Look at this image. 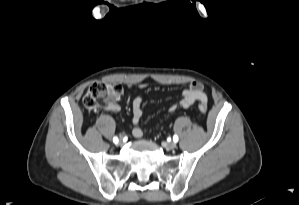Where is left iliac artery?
Returning <instances> with one entry per match:
<instances>
[{
    "mask_svg": "<svg viewBox=\"0 0 299 205\" xmlns=\"http://www.w3.org/2000/svg\"><path fill=\"white\" fill-rule=\"evenodd\" d=\"M173 141H174V142H177V141H178V136H177V135H174V136H173Z\"/></svg>",
    "mask_w": 299,
    "mask_h": 205,
    "instance_id": "44dca946",
    "label": "left iliac artery"
}]
</instances>
